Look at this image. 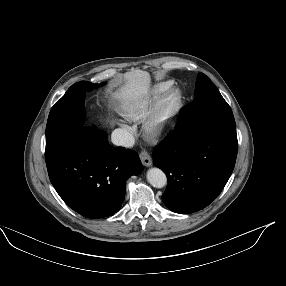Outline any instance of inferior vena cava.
Returning a JSON list of instances; mask_svg holds the SVG:
<instances>
[{
  "label": "inferior vena cava",
  "mask_w": 286,
  "mask_h": 286,
  "mask_svg": "<svg viewBox=\"0 0 286 286\" xmlns=\"http://www.w3.org/2000/svg\"><path fill=\"white\" fill-rule=\"evenodd\" d=\"M111 141L116 146L132 147L134 145L133 134L127 129H116L111 134Z\"/></svg>",
  "instance_id": "602c4592"
}]
</instances>
